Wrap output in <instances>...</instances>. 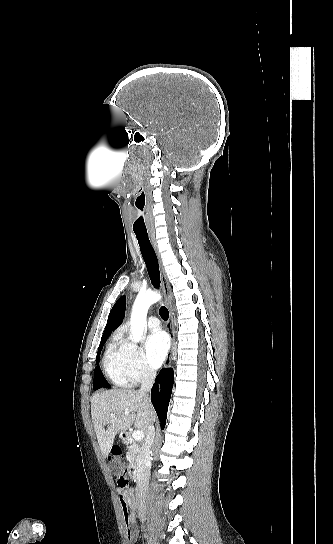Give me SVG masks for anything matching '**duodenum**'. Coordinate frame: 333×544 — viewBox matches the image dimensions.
<instances>
[{"label":"duodenum","instance_id":"obj_1","mask_svg":"<svg viewBox=\"0 0 333 544\" xmlns=\"http://www.w3.org/2000/svg\"><path fill=\"white\" fill-rule=\"evenodd\" d=\"M121 438L124 444L126 445L131 444V437L129 436L128 433H123ZM145 473H146V468L139 464H132L129 467V476L135 482L141 481L144 478Z\"/></svg>","mask_w":333,"mask_h":544}]
</instances>
